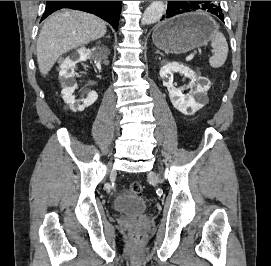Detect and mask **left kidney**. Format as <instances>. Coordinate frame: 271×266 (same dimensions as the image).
Wrapping results in <instances>:
<instances>
[{
    "label": "left kidney",
    "instance_id": "5707ae66",
    "mask_svg": "<svg viewBox=\"0 0 271 266\" xmlns=\"http://www.w3.org/2000/svg\"><path fill=\"white\" fill-rule=\"evenodd\" d=\"M173 73H181L185 77L191 79V82L186 88H192L196 81V75L189 67L181 65L177 62H170L160 69V77L163 79V85L167 87L170 100L173 106L185 115H193L196 111L200 110L204 103L198 102L197 98L205 96L209 90V83L204 82V78H200L201 83H198L193 95H184L179 88L173 84Z\"/></svg>",
    "mask_w": 271,
    "mask_h": 266
}]
</instances>
